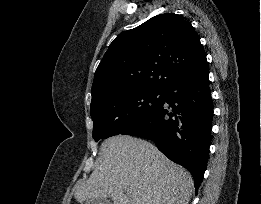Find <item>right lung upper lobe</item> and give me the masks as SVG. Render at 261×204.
I'll use <instances>...</instances> for the list:
<instances>
[{
  "instance_id": "cb5924a9",
  "label": "right lung upper lobe",
  "mask_w": 261,
  "mask_h": 204,
  "mask_svg": "<svg viewBox=\"0 0 261 204\" xmlns=\"http://www.w3.org/2000/svg\"><path fill=\"white\" fill-rule=\"evenodd\" d=\"M205 58L191 23L172 13L154 16L110 44L95 72L91 106L118 91H163Z\"/></svg>"
}]
</instances>
